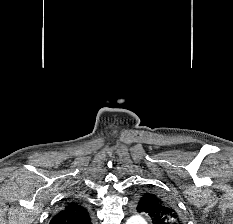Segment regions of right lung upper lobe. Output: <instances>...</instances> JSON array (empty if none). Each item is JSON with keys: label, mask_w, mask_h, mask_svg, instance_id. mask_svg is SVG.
<instances>
[{"label": "right lung upper lobe", "mask_w": 233, "mask_h": 224, "mask_svg": "<svg viewBox=\"0 0 233 224\" xmlns=\"http://www.w3.org/2000/svg\"><path fill=\"white\" fill-rule=\"evenodd\" d=\"M88 209L79 201H71L62 206L52 217L49 224H92Z\"/></svg>", "instance_id": "cb5924a9"}]
</instances>
